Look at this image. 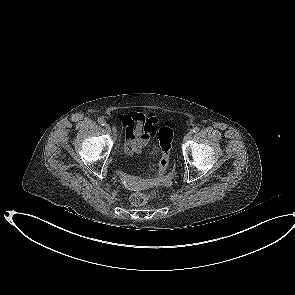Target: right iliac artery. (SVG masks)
<instances>
[{
	"label": "right iliac artery",
	"mask_w": 295,
	"mask_h": 295,
	"mask_svg": "<svg viewBox=\"0 0 295 295\" xmlns=\"http://www.w3.org/2000/svg\"><path fill=\"white\" fill-rule=\"evenodd\" d=\"M98 123H99L100 125H102V126L105 125V121H104L102 118H99V119H98Z\"/></svg>",
	"instance_id": "obj_1"
}]
</instances>
